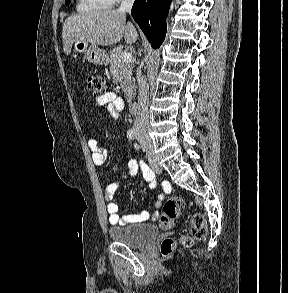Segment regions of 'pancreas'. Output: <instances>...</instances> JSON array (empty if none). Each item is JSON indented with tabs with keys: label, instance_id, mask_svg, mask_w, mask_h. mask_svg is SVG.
Segmentation results:
<instances>
[{
	"label": "pancreas",
	"instance_id": "1",
	"mask_svg": "<svg viewBox=\"0 0 288 293\" xmlns=\"http://www.w3.org/2000/svg\"><path fill=\"white\" fill-rule=\"evenodd\" d=\"M123 46L120 45L110 51V72L116 81H119L127 101H131L136 92L135 79L132 77L133 63L123 62Z\"/></svg>",
	"mask_w": 288,
	"mask_h": 293
}]
</instances>
